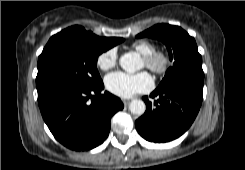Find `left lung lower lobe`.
Instances as JSON below:
<instances>
[{
	"label": "left lung lower lobe",
	"mask_w": 245,
	"mask_h": 170,
	"mask_svg": "<svg viewBox=\"0 0 245 170\" xmlns=\"http://www.w3.org/2000/svg\"><path fill=\"white\" fill-rule=\"evenodd\" d=\"M159 99L152 104L148 97L146 112L136 120L139 134L155 143L168 142L184 134L195 120L203 99V84L180 81L157 88L150 94Z\"/></svg>",
	"instance_id": "1"
}]
</instances>
